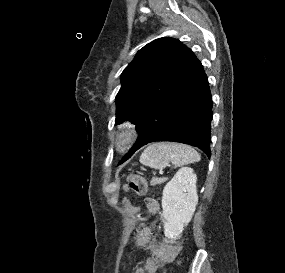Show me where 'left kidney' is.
I'll return each instance as SVG.
<instances>
[{
  "label": "left kidney",
  "mask_w": 285,
  "mask_h": 273,
  "mask_svg": "<svg viewBox=\"0 0 285 273\" xmlns=\"http://www.w3.org/2000/svg\"><path fill=\"white\" fill-rule=\"evenodd\" d=\"M196 174L189 167L181 168L166 184L162 196L164 234L176 240L188 225L198 203Z\"/></svg>",
  "instance_id": "obj_1"
}]
</instances>
